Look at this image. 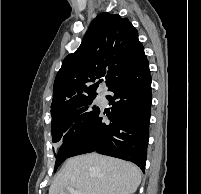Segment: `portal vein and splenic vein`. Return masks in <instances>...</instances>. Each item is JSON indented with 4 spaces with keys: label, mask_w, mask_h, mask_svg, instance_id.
<instances>
[{
    "label": "portal vein and splenic vein",
    "mask_w": 201,
    "mask_h": 194,
    "mask_svg": "<svg viewBox=\"0 0 201 194\" xmlns=\"http://www.w3.org/2000/svg\"><path fill=\"white\" fill-rule=\"evenodd\" d=\"M66 191H68L70 194H81V192L75 190L73 187H67ZM62 194H65L64 192Z\"/></svg>",
    "instance_id": "1"
}]
</instances>
